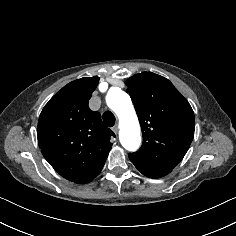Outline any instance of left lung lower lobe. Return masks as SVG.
Instances as JSON below:
<instances>
[{
	"mask_svg": "<svg viewBox=\"0 0 236 236\" xmlns=\"http://www.w3.org/2000/svg\"><path fill=\"white\" fill-rule=\"evenodd\" d=\"M135 167L142 174L150 178H160L171 172V170H161V169H156V168H151V167H142L139 165H135Z\"/></svg>",
	"mask_w": 236,
	"mask_h": 236,
	"instance_id": "1",
	"label": "left lung lower lobe"
}]
</instances>
